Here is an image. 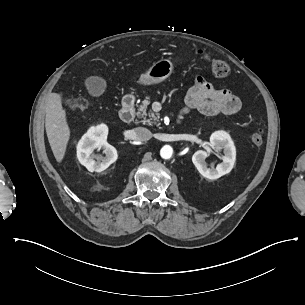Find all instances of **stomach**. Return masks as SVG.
Returning <instances> with one entry per match:
<instances>
[{"label": "stomach", "instance_id": "1", "mask_svg": "<svg viewBox=\"0 0 305 305\" xmlns=\"http://www.w3.org/2000/svg\"><path fill=\"white\" fill-rule=\"evenodd\" d=\"M173 71V64L168 59H161L155 62L149 70L142 74L139 83L143 85H152L164 81Z\"/></svg>", "mask_w": 305, "mask_h": 305}]
</instances>
